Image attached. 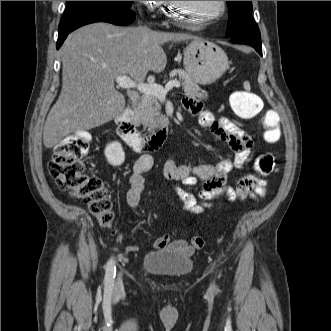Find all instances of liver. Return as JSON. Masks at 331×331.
<instances>
[{"label":"liver","mask_w":331,"mask_h":331,"mask_svg":"<svg viewBox=\"0 0 331 331\" xmlns=\"http://www.w3.org/2000/svg\"><path fill=\"white\" fill-rule=\"evenodd\" d=\"M192 39L197 37L107 23L72 32L60 49L62 90L45 122L44 146L52 148L73 132L117 117L124 110L125 98L115 89L116 77L128 75L137 84L143 83L149 71L165 69L163 43Z\"/></svg>","instance_id":"1"}]
</instances>
